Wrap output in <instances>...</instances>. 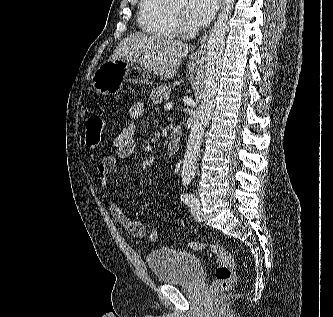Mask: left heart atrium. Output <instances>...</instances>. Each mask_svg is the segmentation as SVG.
<instances>
[{"mask_svg": "<svg viewBox=\"0 0 333 317\" xmlns=\"http://www.w3.org/2000/svg\"><path fill=\"white\" fill-rule=\"evenodd\" d=\"M217 9V0H188L184 18L196 27L206 25L213 17Z\"/></svg>", "mask_w": 333, "mask_h": 317, "instance_id": "left-heart-atrium-1", "label": "left heart atrium"}]
</instances>
